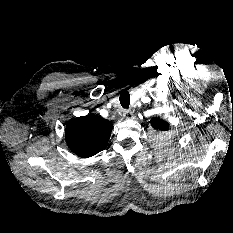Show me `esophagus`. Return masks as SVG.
I'll return each instance as SVG.
<instances>
[{
  "mask_svg": "<svg viewBox=\"0 0 233 233\" xmlns=\"http://www.w3.org/2000/svg\"><path fill=\"white\" fill-rule=\"evenodd\" d=\"M123 117L126 119H131L133 117V113L131 110H124Z\"/></svg>",
  "mask_w": 233,
  "mask_h": 233,
  "instance_id": "esophagus-1",
  "label": "esophagus"
}]
</instances>
